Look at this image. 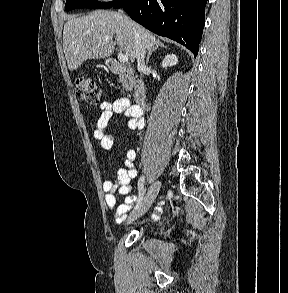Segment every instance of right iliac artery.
<instances>
[{
    "mask_svg": "<svg viewBox=\"0 0 288 293\" xmlns=\"http://www.w3.org/2000/svg\"><path fill=\"white\" fill-rule=\"evenodd\" d=\"M144 182H145V176H142L138 182L139 197H138V202H137L135 209H137L143 201L144 192H145L144 191Z\"/></svg>",
    "mask_w": 288,
    "mask_h": 293,
    "instance_id": "right-iliac-artery-1",
    "label": "right iliac artery"
}]
</instances>
